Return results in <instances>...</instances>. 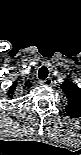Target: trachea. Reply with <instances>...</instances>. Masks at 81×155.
Returning <instances> with one entry per match:
<instances>
[{
    "mask_svg": "<svg viewBox=\"0 0 81 155\" xmlns=\"http://www.w3.org/2000/svg\"><path fill=\"white\" fill-rule=\"evenodd\" d=\"M48 73H49V71L45 66L41 67L38 71L39 79H43V80L46 79L48 76Z\"/></svg>",
    "mask_w": 81,
    "mask_h": 155,
    "instance_id": "trachea-1",
    "label": "trachea"
}]
</instances>
